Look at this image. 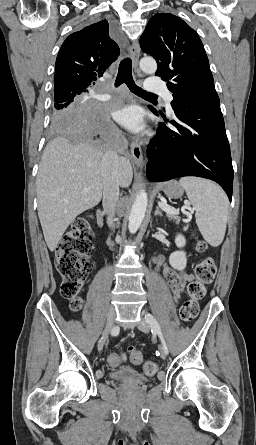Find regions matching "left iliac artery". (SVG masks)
<instances>
[{"instance_id": "44dca946", "label": "left iliac artery", "mask_w": 256, "mask_h": 445, "mask_svg": "<svg viewBox=\"0 0 256 445\" xmlns=\"http://www.w3.org/2000/svg\"><path fill=\"white\" fill-rule=\"evenodd\" d=\"M145 319H146V322L150 325L152 332H154L155 334H157V335L159 336V338H160V340H161V343H162V349H163V351H164L166 354H168V353H169V351H168V347H167V345H166L165 339H164V337H163V334H162V332H161V329H160V326H159L157 320H156V319L154 318V316H153L152 314H150V313H146V315H145Z\"/></svg>"}]
</instances>
